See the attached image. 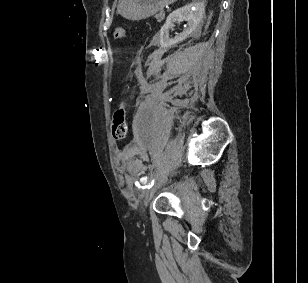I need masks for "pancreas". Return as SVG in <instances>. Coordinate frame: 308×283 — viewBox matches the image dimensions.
Listing matches in <instances>:
<instances>
[{"label": "pancreas", "mask_w": 308, "mask_h": 283, "mask_svg": "<svg viewBox=\"0 0 308 283\" xmlns=\"http://www.w3.org/2000/svg\"><path fill=\"white\" fill-rule=\"evenodd\" d=\"M164 17H165V13L162 11L159 14L155 15V18L157 19L158 22L162 21Z\"/></svg>", "instance_id": "obj_1"}]
</instances>
